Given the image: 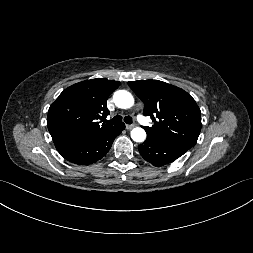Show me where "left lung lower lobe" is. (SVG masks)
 Here are the masks:
<instances>
[{
    "mask_svg": "<svg viewBox=\"0 0 253 253\" xmlns=\"http://www.w3.org/2000/svg\"><path fill=\"white\" fill-rule=\"evenodd\" d=\"M141 156L154 166L161 167L175 161L189 149L185 146L147 136L138 146Z\"/></svg>",
    "mask_w": 253,
    "mask_h": 253,
    "instance_id": "left-lung-lower-lobe-1",
    "label": "left lung lower lobe"
}]
</instances>
